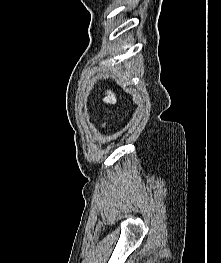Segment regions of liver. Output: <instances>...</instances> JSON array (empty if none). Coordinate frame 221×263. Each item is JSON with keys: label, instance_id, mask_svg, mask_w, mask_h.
<instances>
[{"label": "liver", "instance_id": "6515ba94", "mask_svg": "<svg viewBox=\"0 0 221 263\" xmlns=\"http://www.w3.org/2000/svg\"><path fill=\"white\" fill-rule=\"evenodd\" d=\"M105 103L115 104L117 102L116 95L113 91L107 90L106 96L103 98Z\"/></svg>", "mask_w": 221, "mask_h": 263}]
</instances>
